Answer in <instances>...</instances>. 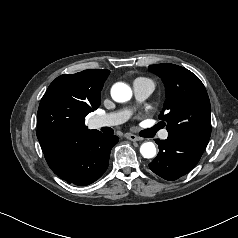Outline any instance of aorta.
I'll list each match as a JSON object with an SVG mask.
<instances>
[{
  "mask_svg": "<svg viewBox=\"0 0 238 238\" xmlns=\"http://www.w3.org/2000/svg\"><path fill=\"white\" fill-rule=\"evenodd\" d=\"M111 96L116 102H126L132 97L131 88L122 82L115 83L111 89ZM140 153L144 158L150 159L156 156L157 150L153 142H145L140 147Z\"/></svg>",
  "mask_w": 238,
  "mask_h": 238,
  "instance_id": "762f6f07",
  "label": "aorta"
}]
</instances>
